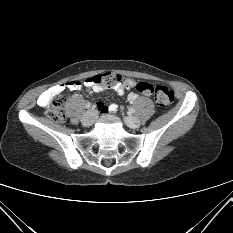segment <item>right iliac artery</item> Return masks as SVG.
Here are the masks:
<instances>
[{
    "label": "right iliac artery",
    "mask_w": 233,
    "mask_h": 233,
    "mask_svg": "<svg viewBox=\"0 0 233 233\" xmlns=\"http://www.w3.org/2000/svg\"><path fill=\"white\" fill-rule=\"evenodd\" d=\"M91 105H92L91 103H87L86 108L89 109L91 107Z\"/></svg>",
    "instance_id": "82829eb1"
}]
</instances>
